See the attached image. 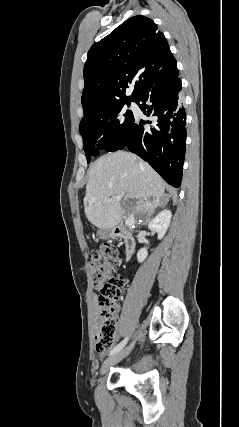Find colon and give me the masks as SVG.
Returning <instances> with one entry per match:
<instances>
[{"label":"colon","instance_id":"1","mask_svg":"<svg viewBox=\"0 0 239 427\" xmlns=\"http://www.w3.org/2000/svg\"><path fill=\"white\" fill-rule=\"evenodd\" d=\"M117 249L106 243L91 254L90 274L94 287L100 292L94 304L96 350L108 351L116 331L115 303L125 286L124 278L116 272Z\"/></svg>","mask_w":239,"mask_h":427}]
</instances>
